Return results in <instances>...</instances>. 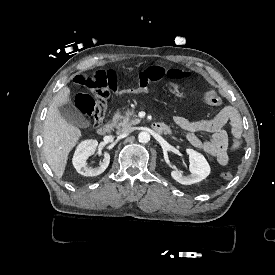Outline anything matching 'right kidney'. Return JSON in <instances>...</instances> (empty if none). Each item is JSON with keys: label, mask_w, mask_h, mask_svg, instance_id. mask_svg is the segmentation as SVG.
<instances>
[{"label": "right kidney", "mask_w": 275, "mask_h": 275, "mask_svg": "<svg viewBox=\"0 0 275 275\" xmlns=\"http://www.w3.org/2000/svg\"><path fill=\"white\" fill-rule=\"evenodd\" d=\"M98 148V142L96 140H88L79 145L74 157L73 165L77 172L84 176H97L103 173L110 163V154L107 151L103 152L104 160L99 167L91 169L87 166L86 160L93 155Z\"/></svg>", "instance_id": "ca27d5eb"}]
</instances>
